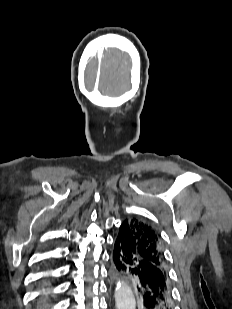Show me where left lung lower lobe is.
<instances>
[{
    "mask_svg": "<svg viewBox=\"0 0 232 309\" xmlns=\"http://www.w3.org/2000/svg\"><path fill=\"white\" fill-rule=\"evenodd\" d=\"M113 272L117 277H130L138 293L140 309H172L173 297L167 271L143 258L122 223L112 250Z\"/></svg>",
    "mask_w": 232,
    "mask_h": 309,
    "instance_id": "left-lung-lower-lobe-1",
    "label": "left lung lower lobe"
}]
</instances>
